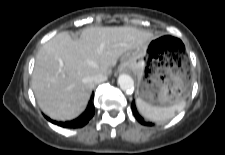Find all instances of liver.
<instances>
[{
  "label": "liver",
  "instance_id": "obj_1",
  "mask_svg": "<svg viewBox=\"0 0 225 155\" xmlns=\"http://www.w3.org/2000/svg\"><path fill=\"white\" fill-rule=\"evenodd\" d=\"M153 33L134 27H89L80 39L61 32L39 50L32 89L41 110L57 120H71L86 108L95 87L93 77L109 75L119 57L146 51Z\"/></svg>",
  "mask_w": 225,
  "mask_h": 155
}]
</instances>
